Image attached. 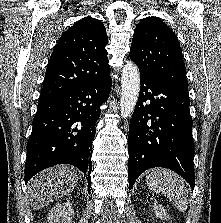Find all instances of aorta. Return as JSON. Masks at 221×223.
I'll list each match as a JSON object with an SVG mask.
<instances>
[{
	"label": "aorta",
	"mask_w": 221,
	"mask_h": 223,
	"mask_svg": "<svg viewBox=\"0 0 221 223\" xmlns=\"http://www.w3.org/2000/svg\"><path fill=\"white\" fill-rule=\"evenodd\" d=\"M120 115L128 118L133 113L140 91V74L138 67L128 62L122 69Z\"/></svg>",
	"instance_id": "aorta-1"
}]
</instances>
